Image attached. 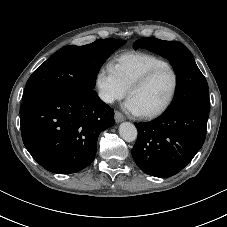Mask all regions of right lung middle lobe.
<instances>
[{
	"label": "right lung middle lobe",
	"mask_w": 227,
	"mask_h": 227,
	"mask_svg": "<svg viewBox=\"0 0 227 227\" xmlns=\"http://www.w3.org/2000/svg\"><path fill=\"white\" fill-rule=\"evenodd\" d=\"M125 40L102 39L84 46H65L47 59L27 81L23 100L50 92L95 93L96 76L105 60Z\"/></svg>",
	"instance_id": "1"
}]
</instances>
